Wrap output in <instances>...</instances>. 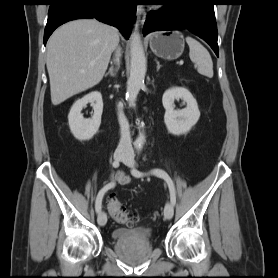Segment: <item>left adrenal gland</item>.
Segmentation results:
<instances>
[{"instance_id": "1", "label": "left adrenal gland", "mask_w": 278, "mask_h": 278, "mask_svg": "<svg viewBox=\"0 0 278 278\" xmlns=\"http://www.w3.org/2000/svg\"><path fill=\"white\" fill-rule=\"evenodd\" d=\"M155 61L157 63V71H158L160 69L161 65H160V63L157 60H155Z\"/></svg>"}]
</instances>
